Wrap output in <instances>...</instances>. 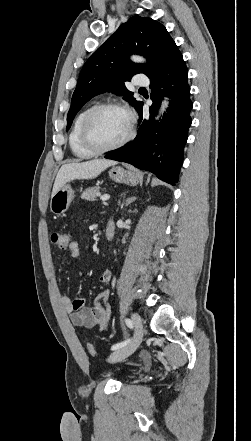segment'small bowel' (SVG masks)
<instances>
[{"label": "small bowel", "instance_id": "obj_1", "mask_svg": "<svg viewBox=\"0 0 251 441\" xmlns=\"http://www.w3.org/2000/svg\"><path fill=\"white\" fill-rule=\"evenodd\" d=\"M67 249L72 258L80 257L81 252L78 242H70ZM111 278V271L104 270L99 276V281L101 283H109ZM108 298L109 291L102 290L95 297L93 306H87L84 298L72 299L66 294L60 296V302L69 314L70 321L74 326L86 329L98 327L101 330H105L108 327L111 316Z\"/></svg>", "mask_w": 251, "mask_h": 441}]
</instances>
